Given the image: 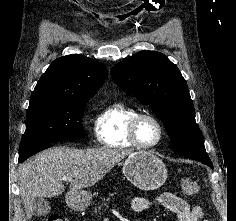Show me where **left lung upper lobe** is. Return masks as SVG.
<instances>
[{"instance_id":"left-lung-upper-lobe-1","label":"left lung upper lobe","mask_w":236,"mask_h":221,"mask_svg":"<svg viewBox=\"0 0 236 221\" xmlns=\"http://www.w3.org/2000/svg\"><path fill=\"white\" fill-rule=\"evenodd\" d=\"M111 76L127 94L148 104L160 117L175 152L210 167L186 80L164 54L140 51L116 64Z\"/></svg>"}]
</instances>
